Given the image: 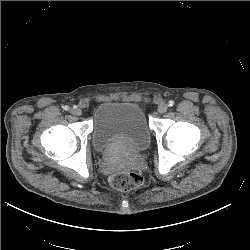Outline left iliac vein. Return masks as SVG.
<instances>
[{
  "instance_id": "4c4485c4",
  "label": "left iliac vein",
  "mask_w": 250,
  "mask_h": 250,
  "mask_svg": "<svg viewBox=\"0 0 250 250\" xmlns=\"http://www.w3.org/2000/svg\"><path fill=\"white\" fill-rule=\"evenodd\" d=\"M168 109V106L167 104L165 103H161L159 106H158V112L159 113H165Z\"/></svg>"
}]
</instances>
